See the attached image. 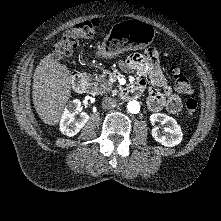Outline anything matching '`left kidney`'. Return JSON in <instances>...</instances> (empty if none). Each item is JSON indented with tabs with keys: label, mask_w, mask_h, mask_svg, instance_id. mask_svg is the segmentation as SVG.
Masks as SVG:
<instances>
[{
	"label": "left kidney",
	"mask_w": 221,
	"mask_h": 221,
	"mask_svg": "<svg viewBox=\"0 0 221 221\" xmlns=\"http://www.w3.org/2000/svg\"><path fill=\"white\" fill-rule=\"evenodd\" d=\"M150 121L152 124L155 121H160L162 123H168L169 125V127L166 128V132L169 134H162L158 127L152 129V136L157 142L167 147H173L182 141L183 133L181 127L174 118L166 114L155 113L150 116Z\"/></svg>",
	"instance_id": "left-kidney-1"
}]
</instances>
